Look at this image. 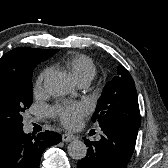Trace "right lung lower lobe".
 Segmentation results:
<instances>
[{
	"label": "right lung lower lobe",
	"mask_w": 168,
	"mask_h": 168,
	"mask_svg": "<svg viewBox=\"0 0 168 168\" xmlns=\"http://www.w3.org/2000/svg\"><path fill=\"white\" fill-rule=\"evenodd\" d=\"M60 141L58 133L45 131L35 136L25 134L23 127L0 133V168H39L45 148Z\"/></svg>",
	"instance_id": "right-lung-lower-lobe-1"
}]
</instances>
